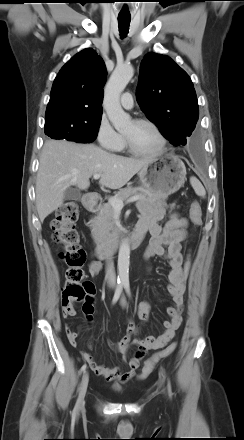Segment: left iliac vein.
<instances>
[{
  "mask_svg": "<svg viewBox=\"0 0 244 440\" xmlns=\"http://www.w3.org/2000/svg\"><path fill=\"white\" fill-rule=\"evenodd\" d=\"M121 304H122L123 306L126 305V301H125L124 297H123L122 300H121Z\"/></svg>",
  "mask_w": 244,
  "mask_h": 440,
  "instance_id": "obj_1",
  "label": "left iliac vein"
}]
</instances>
